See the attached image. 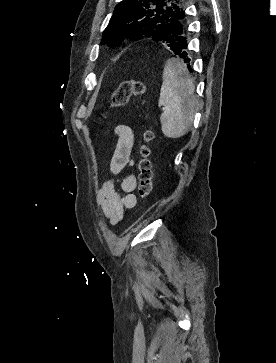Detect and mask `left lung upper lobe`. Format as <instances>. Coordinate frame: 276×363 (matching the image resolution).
<instances>
[{"mask_svg": "<svg viewBox=\"0 0 276 363\" xmlns=\"http://www.w3.org/2000/svg\"><path fill=\"white\" fill-rule=\"evenodd\" d=\"M186 14L180 0H123L103 32L102 44L118 46L124 36L133 40L151 37L166 46L180 33ZM187 38V33L181 34ZM170 48V47H169Z\"/></svg>", "mask_w": 276, "mask_h": 363, "instance_id": "5c2ea615", "label": "left lung upper lobe"}]
</instances>
